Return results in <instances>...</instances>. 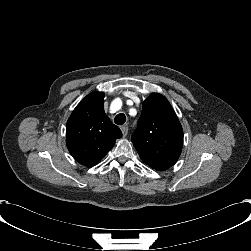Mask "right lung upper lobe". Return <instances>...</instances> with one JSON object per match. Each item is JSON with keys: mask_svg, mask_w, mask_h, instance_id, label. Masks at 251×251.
Here are the masks:
<instances>
[{"mask_svg": "<svg viewBox=\"0 0 251 251\" xmlns=\"http://www.w3.org/2000/svg\"><path fill=\"white\" fill-rule=\"evenodd\" d=\"M103 92L88 94L73 110L66 124V144L72 157L92 167L122 137V132L103 110Z\"/></svg>", "mask_w": 251, "mask_h": 251, "instance_id": "1", "label": "right lung upper lobe"}]
</instances>
